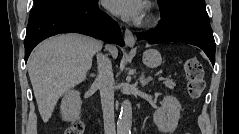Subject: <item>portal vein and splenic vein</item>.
Instances as JSON below:
<instances>
[{
    "instance_id": "obj_1",
    "label": "portal vein and splenic vein",
    "mask_w": 239,
    "mask_h": 134,
    "mask_svg": "<svg viewBox=\"0 0 239 134\" xmlns=\"http://www.w3.org/2000/svg\"><path fill=\"white\" fill-rule=\"evenodd\" d=\"M164 78L162 76H159L158 77V80H163Z\"/></svg>"
}]
</instances>
